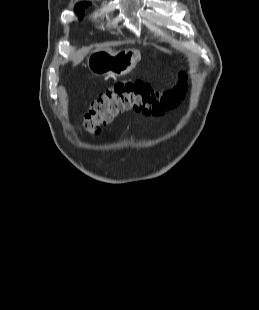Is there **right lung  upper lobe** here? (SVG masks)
Listing matches in <instances>:
<instances>
[{"mask_svg":"<svg viewBox=\"0 0 259 310\" xmlns=\"http://www.w3.org/2000/svg\"><path fill=\"white\" fill-rule=\"evenodd\" d=\"M85 3H88V2H80L79 4L76 5V7L79 5L85 4Z\"/></svg>","mask_w":259,"mask_h":310,"instance_id":"1","label":"right lung upper lobe"}]
</instances>
